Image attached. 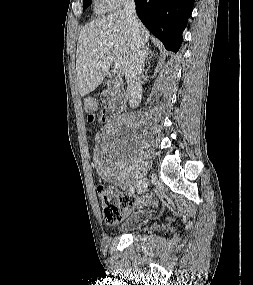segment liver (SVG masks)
Returning a JSON list of instances; mask_svg holds the SVG:
<instances>
[{"instance_id": "obj_1", "label": "liver", "mask_w": 253, "mask_h": 285, "mask_svg": "<svg viewBox=\"0 0 253 285\" xmlns=\"http://www.w3.org/2000/svg\"><path fill=\"white\" fill-rule=\"evenodd\" d=\"M144 43L150 33L142 25ZM134 39L131 25L122 10L86 24L80 31L76 51L77 85L81 96L93 91L107 75L116 53L120 60V75L126 73Z\"/></svg>"}]
</instances>
